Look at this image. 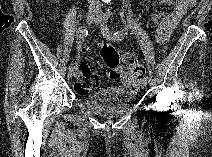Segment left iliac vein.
<instances>
[{"label":"left iliac vein","instance_id":"1","mask_svg":"<svg viewBox=\"0 0 212 157\" xmlns=\"http://www.w3.org/2000/svg\"><path fill=\"white\" fill-rule=\"evenodd\" d=\"M95 23L98 26H100L101 28L104 27V26H107L106 25V21L103 18H101V17H98V19L95 21ZM140 85H141V87L143 89H146V87H147V83L145 81H143V80L141 81Z\"/></svg>","mask_w":212,"mask_h":157}]
</instances>
